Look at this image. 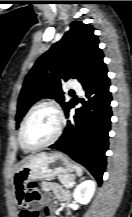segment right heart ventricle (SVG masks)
Returning <instances> with one entry per match:
<instances>
[{"mask_svg": "<svg viewBox=\"0 0 132 217\" xmlns=\"http://www.w3.org/2000/svg\"><path fill=\"white\" fill-rule=\"evenodd\" d=\"M21 145V144H20ZM22 149L24 150V151H27L26 149H24L23 147H22Z\"/></svg>", "mask_w": 132, "mask_h": 217, "instance_id": "obj_1", "label": "right heart ventricle"}]
</instances>
